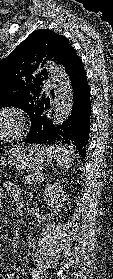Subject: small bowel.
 Masks as SVG:
<instances>
[{
  "mask_svg": "<svg viewBox=\"0 0 113 279\" xmlns=\"http://www.w3.org/2000/svg\"><path fill=\"white\" fill-rule=\"evenodd\" d=\"M4 190L9 192L13 196V198L16 202L20 199V195H21L20 189L14 183H12V182L5 183L4 188L0 189V208H1V198L3 197ZM3 279H16L15 273L9 272V273L5 274Z\"/></svg>",
  "mask_w": 113,
  "mask_h": 279,
  "instance_id": "c3829d8e",
  "label": "small bowel"
}]
</instances>
